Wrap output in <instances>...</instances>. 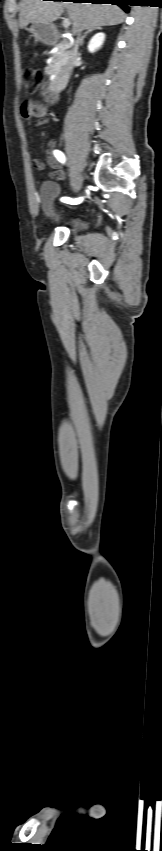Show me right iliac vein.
Instances as JSON below:
<instances>
[{
    "label": "right iliac vein",
    "instance_id": "obj_1",
    "mask_svg": "<svg viewBox=\"0 0 162 851\" xmlns=\"http://www.w3.org/2000/svg\"><path fill=\"white\" fill-rule=\"evenodd\" d=\"M73 174H74V179L72 181V187H73L74 192H78L81 188V185H82V179L79 177L77 170H74Z\"/></svg>",
    "mask_w": 162,
    "mask_h": 851
}]
</instances>
